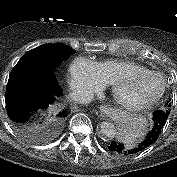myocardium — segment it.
<instances>
[{
	"label": "myocardium",
	"mask_w": 177,
	"mask_h": 177,
	"mask_svg": "<svg viewBox=\"0 0 177 177\" xmlns=\"http://www.w3.org/2000/svg\"><path fill=\"white\" fill-rule=\"evenodd\" d=\"M140 76H152L158 78L161 82V88L158 94L153 98H151L150 100L140 102V103H127L122 101L118 95L120 86L123 84L125 80L130 78L140 77ZM165 89H166V83L163 76L160 73L151 70H143V71L129 72L118 76L111 84V95L114 102L122 109L128 111H142L156 104L164 95Z\"/></svg>",
	"instance_id": "myocardium-1"
}]
</instances>
